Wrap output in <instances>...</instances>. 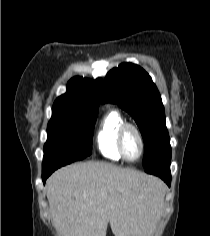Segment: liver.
<instances>
[{"instance_id": "6515ba94", "label": "liver", "mask_w": 210, "mask_h": 236, "mask_svg": "<svg viewBox=\"0 0 210 236\" xmlns=\"http://www.w3.org/2000/svg\"><path fill=\"white\" fill-rule=\"evenodd\" d=\"M164 183L110 163L88 161L57 170L46 183L60 236H150L160 218Z\"/></svg>"}]
</instances>
